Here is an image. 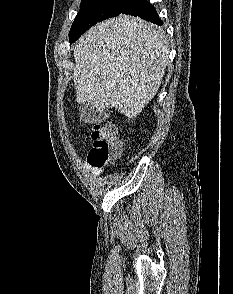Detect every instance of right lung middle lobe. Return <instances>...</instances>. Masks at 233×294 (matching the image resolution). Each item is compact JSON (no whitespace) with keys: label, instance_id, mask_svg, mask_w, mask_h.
Listing matches in <instances>:
<instances>
[{"label":"right lung middle lobe","instance_id":"dd1d6c3e","mask_svg":"<svg viewBox=\"0 0 233 294\" xmlns=\"http://www.w3.org/2000/svg\"><path fill=\"white\" fill-rule=\"evenodd\" d=\"M130 0H82L69 39L80 37L87 29L110 17L118 16Z\"/></svg>","mask_w":233,"mask_h":294}]
</instances>
